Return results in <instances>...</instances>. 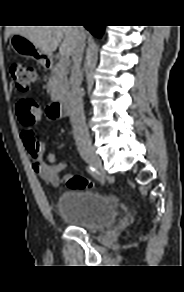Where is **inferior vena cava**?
<instances>
[{"label":"inferior vena cava","mask_w":184,"mask_h":292,"mask_svg":"<svg viewBox=\"0 0 184 292\" xmlns=\"http://www.w3.org/2000/svg\"><path fill=\"white\" fill-rule=\"evenodd\" d=\"M80 37L76 48L72 54V70H71V92H70V106H71V121L74 131V138L77 148L80 152L92 151V141L89 136L88 128L85 122L83 110V94L80 89L82 83L81 62L85 48V37L82 33L84 30L82 26H77Z\"/></svg>","instance_id":"1"}]
</instances>
